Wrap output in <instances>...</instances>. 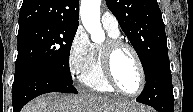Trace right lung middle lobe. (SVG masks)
Wrapping results in <instances>:
<instances>
[{
    "label": "right lung middle lobe",
    "mask_w": 193,
    "mask_h": 112,
    "mask_svg": "<svg viewBox=\"0 0 193 112\" xmlns=\"http://www.w3.org/2000/svg\"><path fill=\"white\" fill-rule=\"evenodd\" d=\"M77 28L49 23L19 29L15 77L29 70L44 69L73 82L69 54Z\"/></svg>",
    "instance_id": "right-lung-middle-lobe-1"
}]
</instances>
